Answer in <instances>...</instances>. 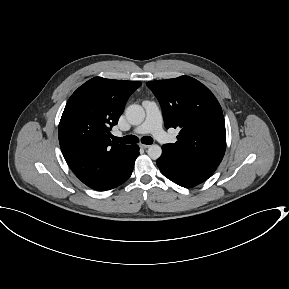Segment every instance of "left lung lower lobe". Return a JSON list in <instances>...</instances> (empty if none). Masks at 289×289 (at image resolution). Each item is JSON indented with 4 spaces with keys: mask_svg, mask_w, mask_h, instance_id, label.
<instances>
[{
    "mask_svg": "<svg viewBox=\"0 0 289 289\" xmlns=\"http://www.w3.org/2000/svg\"><path fill=\"white\" fill-rule=\"evenodd\" d=\"M162 150L157 166L165 177L182 187L190 188L204 182L217 168V165L208 162L181 158Z\"/></svg>",
    "mask_w": 289,
    "mask_h": 289,
    "instance_id": "obj_1",
    "label": "left lung lower lobe"
}]
</instances>
